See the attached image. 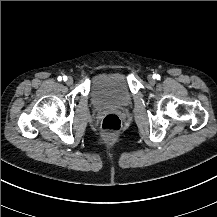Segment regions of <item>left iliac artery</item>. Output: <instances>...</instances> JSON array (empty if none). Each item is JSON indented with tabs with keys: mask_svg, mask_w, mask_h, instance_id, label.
Masks as SVG:
<instances>
[{
	"mask_svg": "<svg viewBox=\"0 0 217 217\" xmlns=\"http://www.w3.org/2000/svg\"><path fill=\"white\" fill-rule=\"evenodd\" d=\"M154 78H156L157 80H160V75L159 74H154Z\"/></svg>",
	"mask_w": 217,
	"mask_h": 217,
	"instance_id": "left-iliac-artery-1",
	"label": "left iliac artery"
}]
</instances>
